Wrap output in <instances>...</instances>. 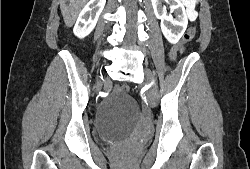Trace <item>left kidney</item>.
I'll use <instances>...</instances> for the list:
<instances>
[{
  "mask_svg": "<svg viewBox=\"0 0 250 169\" xmlns=\"http://www.w3.org/2000/svg\"><path fill=\"white\" fill-rule=\"evenodd\" d=\"M152 6L154 8L155 16L161 18V30L169 40V42H178L182 34H184L188 18L186 10L181 2V0H167L173 10H176L177 18H173L172 14H167L164 6H162V0H151ZM172 26H176L177 30H173Z\"/></svg>",
  "mask_w": 250,
  "mask_h": 169,
  "instance_id": "5707ae66",
  "label": "left kidney"
}]
</instances>
